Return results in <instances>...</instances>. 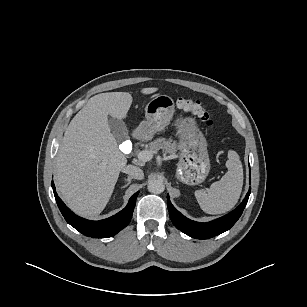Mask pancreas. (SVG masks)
Listing matches in <instances>:
<instances>
[{
	"label": "pancreas",
	"mask_w": 307,
	"mask_h": 307,
	"mask_svg": "<svg viewBox=\"0 0 307 307\" xmlns=\"http://www.w3.org/2000/svg\"><path fill=\"white\" fill-rule=\"evenodd\" d=\"M178 145L175 141H172V139H164V138H158L151 142L149 144V149L153 153H157L160 149L165 151V153H168L170 155H175L177 152Z\"/></svg>",
	"instance_id": "cf45deb5"
}]
</instances>
